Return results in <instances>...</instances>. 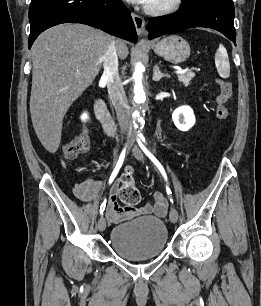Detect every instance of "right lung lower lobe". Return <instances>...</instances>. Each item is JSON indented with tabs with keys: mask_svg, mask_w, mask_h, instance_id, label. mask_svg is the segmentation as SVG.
Segmentation results:
<instances>
[{
	"mask_svg": "<svg viewBox=\"0 0 261 306\" xmlns=\"http://www.w3.org/2000/svg\"><path fill=\"white\" fill-rule=\"evenodd\" d=\"M29 49L40 33L62 23L90 25L131 42L137 40L130 11L121 0H32Z\"/></svg>",
	"mask_w": 261,
	"mask_h": 306,
	"instance_id": "right-lung-lower-lobe-1",
	"label": "right lung lower lobe"
}]
</instances>
